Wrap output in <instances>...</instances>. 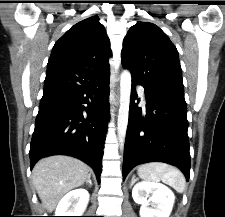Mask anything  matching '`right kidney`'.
<instances>
[{
    "label": "right kidney",
    "instance_id": "1",
    "mask_svg": "<svg viewBox=\"0 0 225 217\" xmlns=\"http://www.w3.org/2000/svg\"><path fill=\"white\" fill-rule=\"evenodd\" d=\"M89 201L86 189H75L67 193L56 208V216H82Z\"/></svg>",
    "mask_w": 225,
    "mask_h": 217
}]
</instances>
